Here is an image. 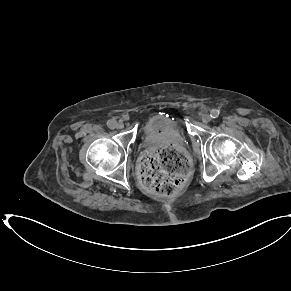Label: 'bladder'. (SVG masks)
I'll return each mask as SVG.
<instances>
[{"label":"bladder","instance_id":"bladder-1","mask_svg":"<svg viewBox=\"0 0 291 291\" xmlns=\"http://www.w3.org/2000/svg\"><path fill=\"white\" fill-rule=\"evenodd\" d=\"M141 134L145 139L164 135L182 141L185 131L180 120L166 115H156L146 121Z\"/></svg>","mask_w":291,"mask_h":291}]
</instances>
